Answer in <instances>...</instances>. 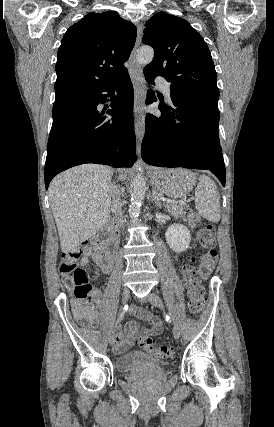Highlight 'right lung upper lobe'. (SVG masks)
<instances>
[{
  "label": "right lung upper lobe",
  "mask_w": 274,
  "mask_h": 427,
  "mask_svg": "<svg viewBox=\"0 0 274 427\" xmlns=\"http://www.w3.org/2000/svg\"><path fill=\"white\" fill-rule=\"evenodd\" d=\"M136 27L117 12L89 13L64 35L57 54L55 102L62 104L112 86L128 74Z\"/></svg>",
  "instance_id": "1"
}]
</instances>
